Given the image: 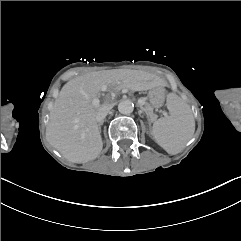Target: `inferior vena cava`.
Segmentation results:
<instances>
[{"label":"inferior vena cava","instance_id":"obj_1","mask_svg":"<svg viewBox=\"0 0 241 241\" xmlns=\"http://www.w3.org/2000/svg\"><path fill=\"white\" fill-rule=\"evenodd\" d=\"M110 109L111 108H107L106 110L99 111L96 115V121L98 123H103V121H104L105 117L107 116Z\"/></svg>","mask_w":241,"mask_h":241}]
</instances>
